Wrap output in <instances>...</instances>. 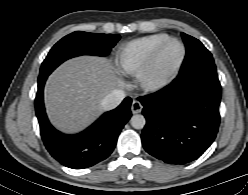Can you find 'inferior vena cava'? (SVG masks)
Segmentation results:
<instances>
[{
    "instance_id": "1",
    "label": "inferior vena cava",
    "mask_w": 248,
    "mask_h": 195,
    "mask_svg": "<svg viewBox=\"0 0 248 195\" xmlns=\"http://www.w3.org/2000/svg\"><path fill=\"white\" fill-rule=\"evenodd\" d=\"M125 92L121 89H113L107 94L100 102V106L103 110H111L117 107L121 101L125 98Z\"/></svg>"
}]
</instances>
